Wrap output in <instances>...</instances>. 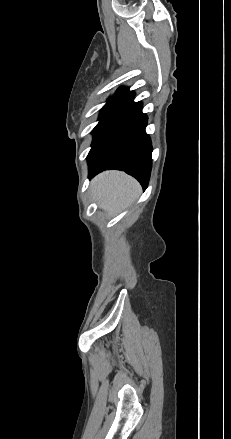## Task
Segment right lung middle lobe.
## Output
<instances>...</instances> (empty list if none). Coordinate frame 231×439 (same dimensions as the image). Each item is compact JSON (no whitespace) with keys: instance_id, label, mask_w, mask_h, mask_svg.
<instances>
[{"instance_id":"1","label":"right lung middle lobe","mask_w":231,"mask_h":439,"mask_svg":"<svg viewBox=\"0 0 231 439\" xmlns=\"http://www.w3.org/2000/svg\"><path fill=\"white\" fill-rule=\"evenodd\" d=\"M141 115V108L133 98H116L101 109L99 123L93 129L91 150L96 148L109 134ZM90 150V151H91Z\"/></svg>"}]
</instances>
